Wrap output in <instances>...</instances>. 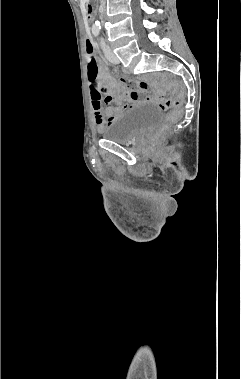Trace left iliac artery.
<instances>
[{"label": "left iliac artery", "mask_w": 241, "mask_h": 379, "mask_svg": "<svg viewBox=\"0 0 241 379\" xmlns=\"http://www.w3.org/2000/svg\"><path fill=\"white\" fill-rule=\"evenodd\" d=\"M100 44H101V47L103 48V50L105 49V43H104V41H103V39H101V42H100Z\"/></svg>", "instance_id": "44dca946"}]
</instances>
